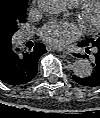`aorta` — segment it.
<instances>
[{"label":"aorta","instance_id":"obj_1","mask_svg":"<svg viewBox=\"0 0 100 118\" xmlns=\"http://www.w3.org/2000/svg\"><path fill=\"white\" fill-rule=\"evenodd\" d=\"M38 4L45 13L51 16H60L66 10L64 0H38ZM92 70V65L87 59H77L73 63V72L77 77H88Z\"/></svg>","mask_w":100,"mask_h":118}]
</instances>
